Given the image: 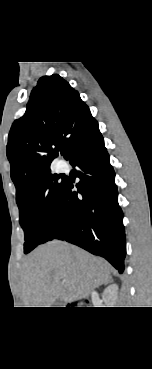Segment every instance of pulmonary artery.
Returning a JSON list of instances; mask_svg holds the SVG:
<instances>
[{"instance_id": "pulmonary-artery-1", "label": "pulmonary artery", "mask_w": 152, "mask_h": 369, "mask_svg": "<svg viewBox=\"0 0 152 369\" xmlns=\"http://www.w3.org/2000/svg\"><path fill=\"white\" fill-rule=\"evenodd\" d=\"M58 167H59V169H60V170H64L65 165L61 163V164H59V166H58Z\"/></svg>"}]
</instances>
